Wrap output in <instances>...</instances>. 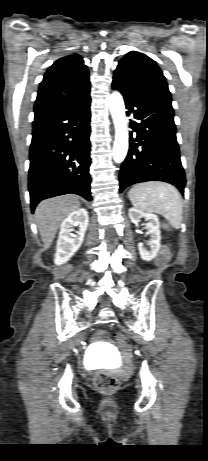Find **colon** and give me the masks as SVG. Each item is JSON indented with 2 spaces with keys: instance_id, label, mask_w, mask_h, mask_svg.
<instances>
[{
  "instance_id": "colon-1",
  "label": "colon",
  "mask_w": 208,
  "mask_h": 461,
  "mask_svg": "<svg viewBox=\"0 0 208 461\" xmlns=\"http://www.w3.org/2000/svg\"><path fill=\"white\" fill-rule=\"evenodd\" d=\"M165 255L161 253L159 261H164ZM115 341L118 344L125 345L127 343L126 338L121 333L115 335ZM94 386L100 392H111L118 388L119 380L112 374L107 372H98L94 377Z\"/></svg>"
}]
</instances>
